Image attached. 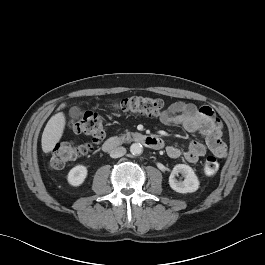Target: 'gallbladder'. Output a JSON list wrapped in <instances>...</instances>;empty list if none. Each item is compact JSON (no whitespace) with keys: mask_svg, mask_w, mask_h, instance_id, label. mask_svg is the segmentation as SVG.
<instances>
[{"mask_svg":"<svg viewBox=\"0 0 265 265\" xmlns=\"http://www.w3.org/2000/svg\"><path fill=\"white\" fill-rule=\"evenodd\" d=\"M69 115L73 119H78L81 116L80 108H78L76 106L71 107L70 110H69Z\"/></svg>","mask_w":265,"mask_h":265,"instance_id":"1","label":"gallbladder"}]
</instances>
